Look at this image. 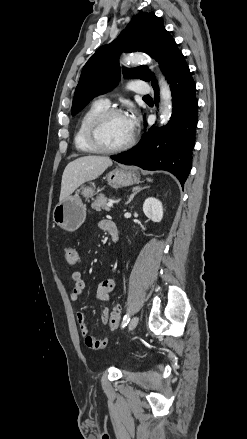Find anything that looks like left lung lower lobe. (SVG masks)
Here are the masks:
<instances>
[{
  "instance_id": "0a47b994",
  "label": "left lung lower lobe",
  "mask_w": 247,
  "mask_h": 439,
  "mask_svg": "<svg viewBox=\"0 0 247 439\" xmlns=\"http://www.w3.org/2000/svg\"><path fill=\"white\" fill-rule=\"evenodd\" d=\"M172 91V117L169 123L157 130L154 126L143 134L133 149L111 156V159L136 165L145 170H165L174 174L184 186L190 169L195 144L198 102L196 84L183 58L167 78ZM155 103L158 102V87Z\"/></svg>"
}]
</instances>
